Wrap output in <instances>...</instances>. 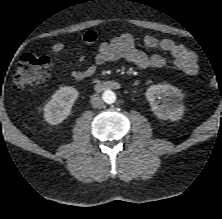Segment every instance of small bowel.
Returning a JSON list of instances; mask_svg holds the SVG:
<instances>
[{
    "label": "small bowel",
    "instance_id": "small-bowel-1",
    "mask_svg": "<svg viewBox=\"0 0 222 219\" xmlns=\"http://www.w3.org/2000/svg\"><path fill=\"white\" fill-rule=\"evenodd\" d=\"M83 40L87 44H94L98 40V35L95 31L90 30L85 32ZM143 41L146 47L157 49L158 52L148 55L138 50L135 45V38L129 33L115 35L108 41L100 43L94 64L85 69L69 70L68 73L76 80H83L93 76L98 66L118 60H124L139 69H156L166 64L167 60L164 53H169L173 58V65L176 69L189 76L198 74L197 56L185 46L172 39H159L153 35H146ZM63 50L64 45L62 43H54L51 47L52 57L56 58Z\"/></svg>",
    "mask_w": 222,
    "mask_h": 219
}]
</instances>
